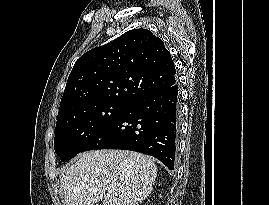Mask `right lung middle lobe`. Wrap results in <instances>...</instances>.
<instances>
[{
    "mask_svg": "<svg viewBox=\"0 0 269 205\" xmlns=\"http://www.w3.org/2000/svg\"><path fill=\"white\" fill-rule=\"evenodd\" d=\"M129 104L107 101L97 103L57 119L54 149L66 162L83 148Z\"/></svg>",
    "mask_w": 269,
    "mask_h": 205,
    "instance_id": "dd1d6c3e",
    "label": "right lung middle lobe"
}]
</instances>
